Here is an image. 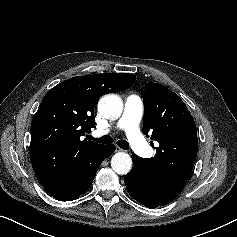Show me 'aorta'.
Listing matches in <instances>:
<instances>
[{
    "label": "aorta",
    "instance_id": "obj_1",
    "mask_svg": "<svg viewBox=\"0 0 237 237\" xmlns=\"http://www.w3.org/2000/svg\"><path fill=\"white\" fill-rule=\"evenodd\" d=\"M98 111L107 119H118L123 111L121 98L115 94L103 96L98 102ZM111 167L117 174L125 175L132 167V159L127 153L118 152L111 159Z\"/></svg>",
    "mask_w": 237,
    "mask_h": 237
}]
</instances>
